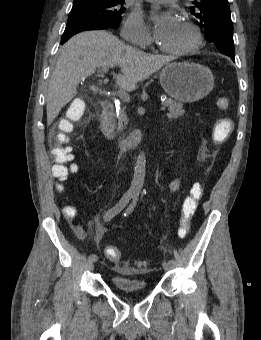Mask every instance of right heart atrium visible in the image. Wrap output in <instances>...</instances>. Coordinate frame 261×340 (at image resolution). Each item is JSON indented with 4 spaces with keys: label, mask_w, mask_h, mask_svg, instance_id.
Here are the masks:
<instances>
[{
    "label": "right heart atrium",
    "mask_w": 261,
    "mask_h": 340,
    "mask_svg": "<svg viewBox=\"0 0 261 340\" xmlns=\"http://www.w3.org/2000/svg\"><path fill=\"white\" fill-rule=\"evenodd\" d=\"M121 36L143 48L151 45L152 37L143 21L142 15L139 12H132L124 21Z\"/></svg>",
    "instance_id": "1"
}]
</instances>
